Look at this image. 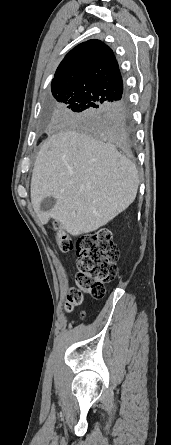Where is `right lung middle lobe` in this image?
I'll return each mask as SVG.
<instances>
[{
  "label": "right lung middle lobe",
  "instance_id": "1",
  "mask_svg": "<svg viewBox=\"0 0 171 445\" xmlns=\"http://www.w3.org/2000/svg\"><path fill=\"white\" fill-rule=\"evenodd\" d=\"M54 98L58 101V118L64 122L87 127L102 136L98 126V116L108 102L93 93L73 90L64 91Z\"/></svg>",
  "mask_w": 171,
  "mask_h": 445
}]
</instances>
